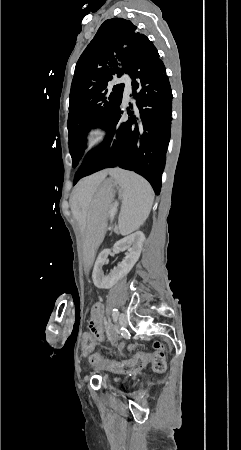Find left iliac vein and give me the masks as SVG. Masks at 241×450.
<instances>
[{
	"label": "left iliac vein",
	"instance_id": "1",
	"mask_svg": "<svg viewBox=\"0 0 241 450\" xmlns=\"http://www.w3.org/2000/svg\"><path fill=\"white\" fill-rule=\"evenodd\" d=\"M126 317L125 315L122 313L120 314L119 318H118V328L124 327L126 326Z\"/></svg>",
	"mask_w": 241,
	"mask_h": 450
}]
</instances>
